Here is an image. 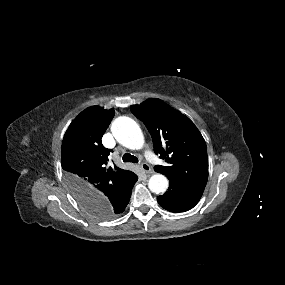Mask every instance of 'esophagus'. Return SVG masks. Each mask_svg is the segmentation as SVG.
Masks as SVG:
<instances>
[{"instance_id":"34e87169","label":"esophagus","mask_w":285,"mask_h":285,"mask_svg":"<svg viewBox=\"0 0 285 285\" xmlns=\"http://www.w3.org/2000/svg\"><path fill=\"white\" fill-rule=\"evenodd\" d=\"M140 168L142 169L143 172L145 173H152L151 167L147 163H142L140 165Z\"/></svg>"}]
</instances>
